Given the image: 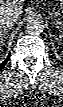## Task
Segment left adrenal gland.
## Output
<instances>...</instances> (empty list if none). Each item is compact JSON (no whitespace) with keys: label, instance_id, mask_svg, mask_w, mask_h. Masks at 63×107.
<instances>
[{"label":"left adrenal gland","instance_id":"a2214340","mask_svg":"<svg viewBox=\"0 0 63 107\" xmlns=\"http://www.w3.org/2000/svg\"><path fill=\"white\" fill-rule=\"evenodd\" d=\"M55 25H56V27H57L58 29H60V27H59L57 24H55ZM59 32H60V37H63V36H62V33H63L62 30H59Z\"/></svg>","mask_w":63,"mask_h":107}]
</instances>
